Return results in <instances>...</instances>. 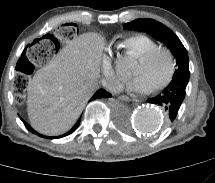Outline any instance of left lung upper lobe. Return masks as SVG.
Listing matches in <instances>:
<instances>
[{
  "instance_id": "obj_1",
  "label": "left lung upper lobe",
  "mask_w": 215,
  "mask_h": 183,
  "mask_svg": "<svg viewBox=\"0 0 215 183\" xmlns=\"http://www.w3.org/2000/svg\"><path fill=\"white\" fill-rule=\"evenodd\" d=\"M124 29L138 30L150 34L155 39L164 43L176 58L178 69L173 75L175 78L189 80V59L188 54L175 33L162 23L153 19H137L124 25Z\"/></svg>"
}]
</instances>
